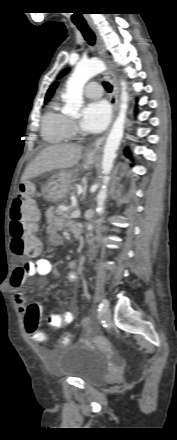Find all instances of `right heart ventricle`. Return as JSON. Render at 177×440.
I'll use <instances>...</instances> for the list:
<instances>
[{
    "label": "right heart ventricle",
    "mask_w": 177,
    "mask_h": 440,
    "mask_svg": "<svg viewBox=\"0 0 177 440\" xmlns=\"http://www.w3.org/2000/svg\"><path fill=\"white\" fill-rule=\"evenodd\" d=\"M69 119L61 111L57 100L52 101L41 119V136L49 144L66 142L70 137Z\"/></svg>",
    "instance_id": "right-heart-ventricle-1"
}]
</instances>
